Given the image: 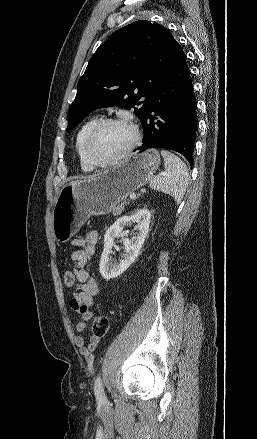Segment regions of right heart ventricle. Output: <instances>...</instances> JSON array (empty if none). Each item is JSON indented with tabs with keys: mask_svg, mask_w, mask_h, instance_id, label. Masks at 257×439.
Returning a JSON list of instances; mask_svg holds the SVG:
<instances>
[{
	"mask_svg": "<svg viewBox=\"0 0 257 439\" xmlns=\"http://www.w3.org/2000/svg\"><path fill=\"white\" fill-rule=\"evenodd\" d=\"M98 121L99 120L96 117L88 119L81 125L76 135L75 148L78 154L81 169L85 172L93 171L94 167L88 162L85 156L84 142L88 133Z\"/></svg>",
	"mask_w": 257,
	"mask_h": 439,
	"instance_id": "1",
	"label": "right heart ventricle"
}]
</instances>
